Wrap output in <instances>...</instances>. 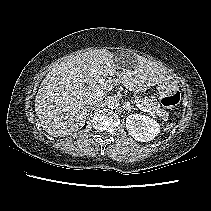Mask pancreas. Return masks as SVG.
<instances>
[{"mask_svg":"<svg viewBox=\"0 0 211 211\" xmlns=\"http://www.w3.org/2000/svg\"><path fill=\"white\" fill-rule=\"evenodd\" d=\"M137 102H139L140 104H142L147 108H150L153 112H156V115H158L162 120L164 121L168 120L167 111L161 109L160 104L156 102L154 99H149V98L137 99Z\"/></svg>","mask_w":211,"mask_h":211,"instance_id":"pancreas-1","label":"pancreas"}]
</instances>
